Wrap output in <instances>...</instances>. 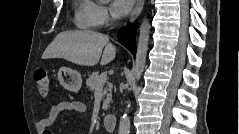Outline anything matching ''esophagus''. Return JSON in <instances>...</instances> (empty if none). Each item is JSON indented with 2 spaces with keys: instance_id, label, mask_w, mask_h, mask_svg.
I'll return each mask as SVG.
<instances>
[{
  "instance_id": "obj_1",
  "label": "esophagus",
  "mask_w": 239,
  "mask_h": 134,
  "mask_svg": "<svg viewBox=\"0 0 239 134\" xmlns=\"http://www.w3.org/2000/svg\"><path fill=\"white\" fill-rule=\"evenodd\" d=\"M144 2H145V0H137L136 5H135V7L132 11V14L130 16V19H129L130 22H134L137 19V17L140 15V13L143 9V6H144Z\"/></svg>"
}]
</instances>
